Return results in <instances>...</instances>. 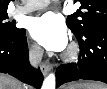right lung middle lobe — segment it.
I'll use <instances>...</instances> for the list:
<instances>
[{"instance_id":"dd1d6c3e","label":"right lung middle lobe","mask_w":107,"mask_h":89,"mask_svg":"<svg viewBox=\"0 0 107 89\" xmlns=\"http://www.w3.org/2000/svg\"><path fill=\"white\" fill-rule=\"evenodd\" d=\"M8 18L7 12L0 13V34L4 37L10 38L18 34L22 29L16 28L13 22H6Z\"/></svg>"}]
</instances>
